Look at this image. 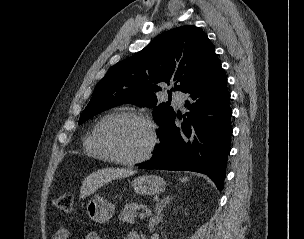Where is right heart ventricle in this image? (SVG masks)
I'll use <instances>...</instances> for the list:
<instances>
[{
    "label": "right heart ventricle",
    "instance_id": "1",
    "mask_svg": "<svg viewBox=\"0 0 304 239\" xmlns=\"http://www.w3.org/2000/svg\"><path fill=\"white\" fill-rule=\"evenodd\" d=\"M115 113H109L102 116L92 127L89 133L83 139V149L84 152L93 158L100 160H110L107 154L101 149L97 142V132L101 126V124L111 115Z\"/></svg>",
    "mask_w": 304,
    "mask_h": 239
}]
</instances>
